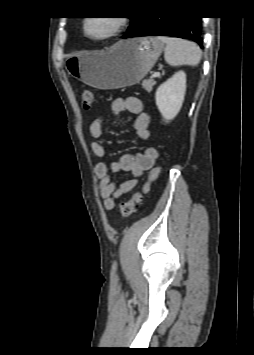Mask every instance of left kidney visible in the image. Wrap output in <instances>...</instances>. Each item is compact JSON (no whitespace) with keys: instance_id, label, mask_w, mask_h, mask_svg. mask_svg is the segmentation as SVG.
Here are the masks:
<instances>
[{"instance_id":"1","label":"left kidney","mask_w":254,"mask_h":355,"mask_svg":"<svg viewBox=\"0 0 254 355\" xmlns=\"http://www.w3.org/2000/svg\"><path fill=\"white\" fill-rule=\"evenodd\" d=\"M186 91V74L176 72L161 84L155 94L156 105L166 121H170L179 113Z\"/></svg>"}]
</instances>
